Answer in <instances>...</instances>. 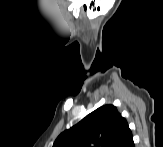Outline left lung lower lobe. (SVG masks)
<instances>
[{
	"label": "left lung lower lobe",
	"instance_id": "1",
	"mask_svg": "<svg viewBox=\"0 0 163 147\" xmlns=\"http://www.w3.org/2000/svg\"><path fill=\"white\" fill-rule=\"evenodd\" d=\"M114 147H134L133 136L129 126L125 128Z\"/></svg>",
	"mask_w": 163,
	"mask_h": 147
}]
</instances>
